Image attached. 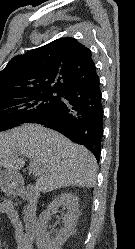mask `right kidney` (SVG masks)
I'll list each match as a JSON object with an SVG mask.
<instances>
[{
	"label": "right kidney",
	"mask_w": 135,
	"mask_h": 249,
	"mask_svg": "<svg viewBox=\"0 0 135 249\" xmlns=\"http://www.w3.org/2000/svg\"><path fill=\"white\" fill-rule=\"evenodd\" d=\"M63 207L67 212L62 217L64 227L55 236L47 232L51 216ZM78 198L71 192H66L56 197L39 216L36 228V245L38 249H61L66 240L74 234L79 217Z\"/></svg>",
	"instance_id": "right-kidney-1"
}]
</instances>
